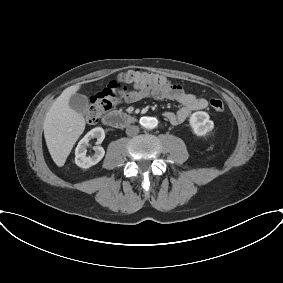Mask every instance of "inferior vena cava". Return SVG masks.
<instances>
[{
  "label": "inferior vena cava",
  "instance_id": "obj_1",
  "mask_svg": "<svg viewBox=\"0 0 283 283\" xmlns=\"http://www.w3.org/2000/svg\"><path fill=\"white\" fill-rule=\"evenodd\" d=\"M139 133V127L135 125H130L126 128V134L128 136H134Z\"/></svg>",
  "mask_w": 283,
  "mask_h": 283
}]
</instances>
